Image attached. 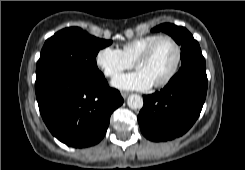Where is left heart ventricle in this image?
<instances>
[{"instance_id": "1", "label": "left heart ventricle", "mask_w": 245, "mask_h": 170, "mask_svg": "<svg viewBox=\"0 0 245 170\" xmlns=\"http://www.w3.org/2000/svg\"><path fill=\"white\" fill-rule=\"evenodd\" d=\"M176 52L169 40L159 41L151 55L141 61L137 69L143 71L152 83L162 80L171 70L175 61Z\"/></svg>"}]
</instances>
